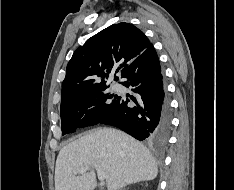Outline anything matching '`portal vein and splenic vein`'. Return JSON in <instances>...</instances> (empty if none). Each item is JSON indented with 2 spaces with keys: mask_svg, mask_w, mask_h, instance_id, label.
I'll return each instance as SVG.
<instances>
[{
  "mask_svg": "<svg viewBox=\"0 0 234 190\" xmlns=\"http://www.w3.org/2000/svg\"><path fill=\"white\" fill-rule=\"evenodd\" d=\"M95 169L97 171V175H98L99 180L104 181L106 179L105 173L97 165H95ZM88 170H89V167L86 166V167H83V168H80V169L74 171V174H84Z\"/></svg>",
  "mask_w": 234,
  "mask_h": 190,
  "instance_id": "obj_1",
  "label": "portal vein and splenic vein"
}]
</instances>
